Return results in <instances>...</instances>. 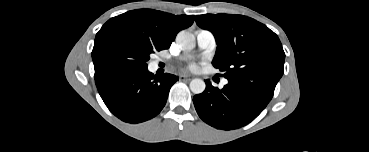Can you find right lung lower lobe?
I'll list each match as a JSON object with an SVG mask.
<instances>
[{
	"label": "right lung lower lobe",
	"instance_id": "1",
	"mask_svg": "<svg viewBox=\"0 0 369 152\" xmlns=\"http://www.w3.org/2000/svg\"><path fill=\"white\" fill-rule=\"evenodd\" d=\"M177 76L153 75L146 68H122L95 78L101 98L108 109L128 123H140L155 117L166 104Z\"/></svg>",
	"mask_w": 369,
	"mask_h": 152
}]
</instances>
